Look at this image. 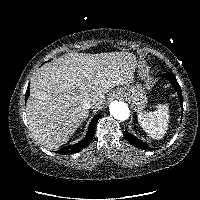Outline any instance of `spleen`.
I'll return each instance as SVG.
<instances>
[{
	"label": "spleen",
	"instance_id": "1",
	"mask_svg": "<svg viewBox=\"0 0 200 200\" xmlns=\"http://www.w3.org/2000/svg\"><path fill=\"white\" fill-rule=\"evenodd\" d=\"M138 122L153 139L163 138L169 123L168 105L158 104L154 111H139Z\"/></svg>",
	"mask_w": 200,
	"mask_h": 200
}]
</instances>
